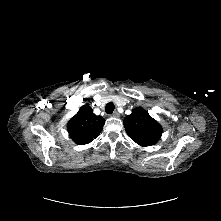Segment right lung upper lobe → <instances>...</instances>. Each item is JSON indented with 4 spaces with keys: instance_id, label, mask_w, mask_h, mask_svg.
Instances as JSON below:
<instances>
[{
    "instance_id": "1",
    "label": "right lung upper lobe",
    "mask_w": 221,
    "mask_h": 221,
    "mask_svg": "<svg viewBox=\"0 0 221 221\" xmlns=\"http://www.w3.org/2000/svg\"><path fill=\"white\" fill-rule=\"evenodd\" d=\"M104 124V118L96 116L89 105H83L69 120L67 130L70 138L76 144L84 145L99 136Z\"/></svg>"
}]
</instances>
